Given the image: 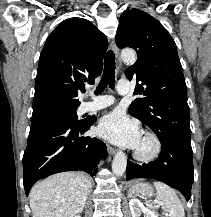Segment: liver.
I'll list each match as a JSON object with an SVG mask.
<instances>
[{
  "label": "liver",
  "mask_w": 211,
  "mask_h": 217,
  "mask_svg": "<svg viewBox=\"0 0 211 217\" xmlns=\"http://www.w3.org/2000/svg\"><path fill=\"white\" fill-rule=\"evenodd\" d=\"M90 189L91 182L83 173L50 176L30 191L32 217H75L83 211Z\"/></svg>",
  "instance_id": "6515ba94"
}]
</instances>
